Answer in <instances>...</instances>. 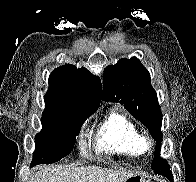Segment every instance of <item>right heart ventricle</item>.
I'll return each instance as SVG.
<instances>
[{
    "label": "right heart ventricle",
    "mask_w": 196,
    "mask_h": 182,
    "mask_svg": "<svg viewBox=\"0 0 196 182\" xmlns=\"http://www.w3.org/2000/svg\"><path fill=\"white\" fill-rule=\"evenodd\" d=\"M97 147L106 153L139 156L144 149L136 124L125 114L113 110L100 124L96 134Z\"/></svg>",
    "instance_id": "1"
}]
</instances>
